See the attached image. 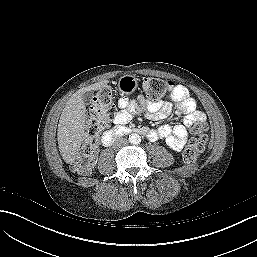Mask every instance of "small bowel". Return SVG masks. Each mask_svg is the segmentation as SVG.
<instances>
[{
	"label": "small bowel",
	"mask_w": 257,
	"mask_h": 257,
	"mask_svg": "<svg viewBox=\"0 0 257 257\" xmlns=\"http://www.w3.org/2000/svg\"><path fill=\"white\" fill-rule=\"evenodd\" d=\"M169 98L176 103V112L178 115L183 116V124L173 127L163 125L157 130L151 131L149 138L151 140L165 138L171 148L180 150L187 141L186 127L204 121L205 116L197 109L195 99L190 97L189 91L185 86L176 85L173 87ZM118 107L119 110L114 117V124L116 125L127 124L136 113L146 112L152 118L161 119L169 116L172 111V104L170 102H150L142 95L137 96L133 100L120 97L118 99Z\"/></svg>",
	"instance_id": "1"
}]
</instances>
